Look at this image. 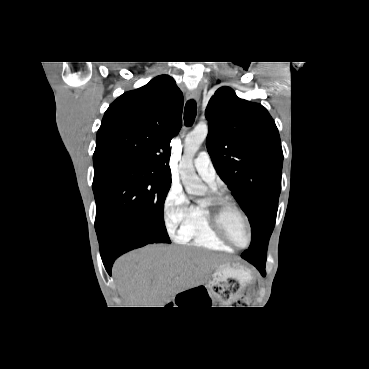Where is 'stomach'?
<instances>
[{"label": "stomach", "mask_w": 369, "mask_h": 369, "mask_svg": "<svg viewBox=\"0 0 369 369\" xmlns=\"http://www.w3.org/2000/svg\"><path fill=\"white\" fill-rule=\"evenodd\" d=\"M251 280V273L242 265L226 262L216 268L206 288L213 297L228 303L233 301Z\"/></svg>", "instance_id": "stomach-1"}]
</instances>
